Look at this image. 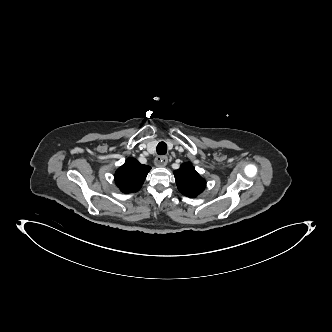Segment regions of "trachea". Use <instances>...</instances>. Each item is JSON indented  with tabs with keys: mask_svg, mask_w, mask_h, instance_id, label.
<instances>
[{
	"mask_svg": "<svg viewBox=\"0 0 332 332\" xmlns=\"http://www.w3.org/2000/svg\"><path fill=\"white\" fill-rule=\"evenodd\" d=\"M157 154L164 155L167 152V145L165 142H159L156 147Z\"/></svg>",
	"mask_w": 332,
	"mask_h": 332,
	"instance_id": "3493384b",
	"label": "trachea"
}]
</instances>
